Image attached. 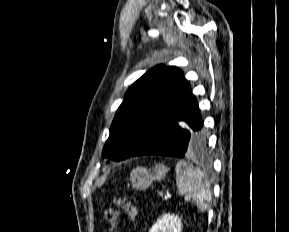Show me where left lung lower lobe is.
<instances>
[{
	"mask_svg": "<svg viewBox=\"0 0 289 232\" xmlns=\"http://www.w3.org/2000/svg\"><path fill=\"white\" fill-rule=\"evenodd\" d=\"M206 147L207 136L202 128L198 103L190 93L171 121L130 157L162 155L182 158L203 152Z\"/></svg>",
	"mask_w": 289,
	"mask_h": 232,
	"instance_id": "left-lung-lower-lobe-1",
	"label": "left lung lower lobe"
}]
</instances>
